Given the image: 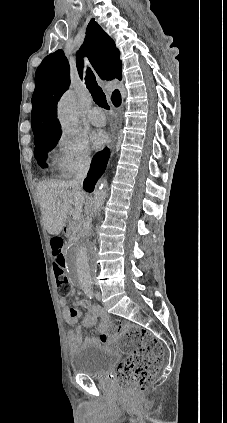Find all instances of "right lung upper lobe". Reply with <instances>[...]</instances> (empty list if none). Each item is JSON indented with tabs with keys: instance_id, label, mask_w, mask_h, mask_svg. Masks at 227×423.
<instances>
[{
	"instance_id": "1",
	"label": "right lung upper lobe",
	"mask_w": 227,
	"mask_h": 423,
	"mask_svg": "<svg viewBox=\"0 0 227 423\" xmlns=\"http://www.w3.org/2000/svg\"><path fill=\"white\" fill-rule=\"evenodd\" d=\"M86 56L97 74L106 80L122 79L120 53L114 41L92 19L86 30L84 44L77 52V68L82 76L83 57ZM69 65L62 50L46 56L35 75L32 96V131L35 138L61 134L56 117L57 102L69 88ZM114 104L121 102L118 90L112 94Z\"/></svg>"
}]
</instances>
